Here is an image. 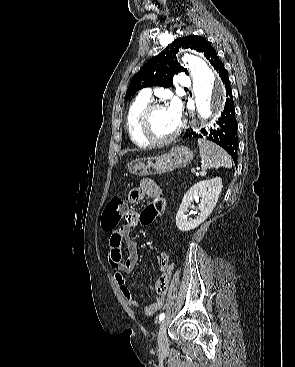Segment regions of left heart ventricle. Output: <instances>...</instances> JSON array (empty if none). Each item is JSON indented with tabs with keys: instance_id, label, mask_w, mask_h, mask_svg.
<instances>
[{
	"instance_id": "1",
	"label": "left heart ventricle",
	"mask_w": 295,
	"mask_h": 367,
	"mask_svg": "<svg viewBox=\"0 0 295 367\" xmlns=\"http://www.w3.org/2000/svg\"><path fill=\"white\" fill-rule=\"evenodd\" d=\"M178 123L171 117L167 108H161L154 112L151 119L153 133L158 137H168L178 128Z\"/></svg>"
}]
</instances>
